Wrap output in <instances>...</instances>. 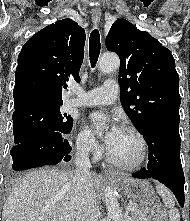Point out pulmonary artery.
Segmentation results:
<instances>
[{"label":"pulmonary artery","mask_w":190,"mask_h":221,"mask_svg":"<svg viewBox=\"0 0 190 221\" xmlns=\"http://www.w3.org/2000/svg\"><path fill=\"white\" fill-rule=\"evenodd\" d=\"M73 91L77 97L68 101L70 107H90L96 105H108L115 102L118 96V83L108 79L100 87L90 91L82 92L78 87Z\"/></svg>","instance_id":"1"}]
</instances>
